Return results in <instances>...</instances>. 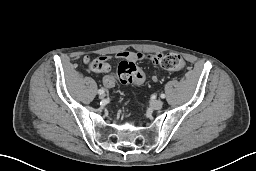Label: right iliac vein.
<instances>
[{
  "mask_svg": "<svg viewBox=\"0 0 256 171\" xmlns=\"http://www.w3.org/2000/svg\"><path fill=\"white\" fill-rule=\"evenodd\" d=\"M105 96H106V95H105L104 93L99 94V98H100V99H104V98H105Z\"/></svg>",
  "mask_w": 256,
  "mask_h": 171,
  "instance_id": "right-iliac-vein-1",
  "label": "right iliac vein"
}]
</instances>
